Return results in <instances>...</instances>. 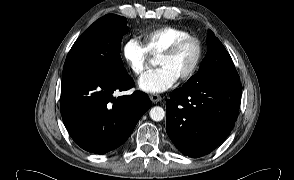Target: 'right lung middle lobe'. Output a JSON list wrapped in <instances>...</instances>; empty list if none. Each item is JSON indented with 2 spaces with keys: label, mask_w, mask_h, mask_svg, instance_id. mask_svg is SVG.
Masks as SVG:
<instances>
[{
  "label": "right lung middle lobe",
  "mask_w": 294,
  "mask_h": 180,
  "mask_svg": "<svg viewBox=\"0 0 294 180\" xmlns=\"http://www.w3.org/2000/svg\"><path fill=\"white\" fill-rule=\"evenodd\" d=\"M127 20L114 14L95 21L73 44L63 68L62 80L77 75L128 76L120 56Z\"/></svg>",
  "instance_id": "dd1d6c3e"
}]
</instances>
